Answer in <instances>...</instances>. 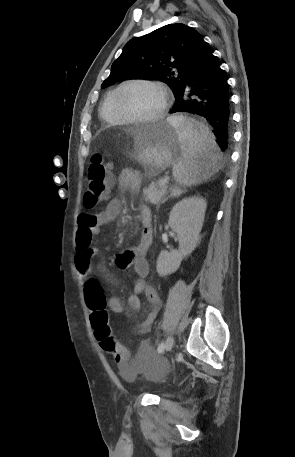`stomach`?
Wrapping results in <instances>:
<instances>
[{"label":"stomach","mask_w":295,"mask_h":457,"mask_svg":"<svg viewBox=\"0 0 295 457\" xmlns=\"http://www.w3.org/2000/svg\"><path fill=\"white\" fill-rule=\"evenodd\" d=\"M179 143L176 128L161 121L134 137L131 157L153 176L177 162Z\"/></svg>","instance_id":"0dacf381"}]
</instances>
